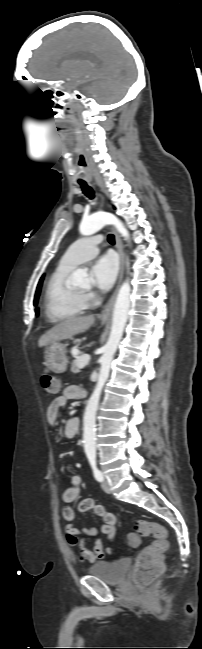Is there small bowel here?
<instances>
[{"instance_id":"small-bowel-1","label":"small bowel","mask_w":202,"mask_h":649,"mask_svg":"<svg viewBox=\"0 0 202 649\" xmlns=\"http://www.w3.org/2000/svg\"><path fill=\"white\" fill-rule=\"evenodd\" d=\"M85 395V391L81 386L68 385L65 387L63 394L51 401L46 410V419L49 425H54L59 417V412L62 407L66 405L69 400L81 399ZM79 428V419L76 416L70 417L64 425L62 430V437L65 439L73 438ZM81 478L78 475L72 477L69 486H67L62 494V499L66 503H72L77 500L80 494ZM79 512L93 511L97 516L101 517L103 524L91 528H78L73 524L75 519V511L71 507H64L62 516L67 522L65 532L68 543L77 547L79 550V557L81 561L93 563L105 557L103 544L98 538L100 534H105L109 537L110 542H114L116 534V518L115 515L107 512L105 508L97 504L93 499H84L78 505ZM108 516L114 518L113 521L108 520ZM92 543V549L86 547V543Z\"/></svg>"}]
</instances>
